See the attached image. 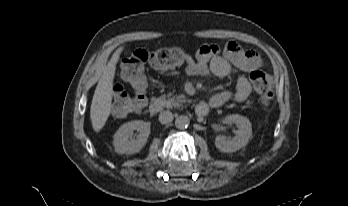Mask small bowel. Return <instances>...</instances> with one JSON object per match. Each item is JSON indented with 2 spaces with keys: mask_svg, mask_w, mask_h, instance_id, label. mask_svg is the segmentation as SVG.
Returning a JSON list of instances; mask_svg holds the SVG:
<instances>
[{
  "mask_svg": "<svg viewBox=\"0 0 348 206\" xmlns=\"http://www.w3.org/2000/svg\"><path fill=\"white\" fill-rule=\"evenodd\" d=\"M261 64V59L255 51L245 49L236 42H228L222 53L216 51L213 46L203 45L198 49L195 58L186 56L185 72L201 76L210 71L221 78L235 75L234 91H222L211 98V107L218 108L230 101L243 102L251 93L249 80L245 75L234 74V67L252 71L258 69Z\"/></svg>",
  "mask_w": 348,
  "mask_h": 206,
  "instance_id": "obj_1",
  "label": "small bowel"
}]
</instances>
